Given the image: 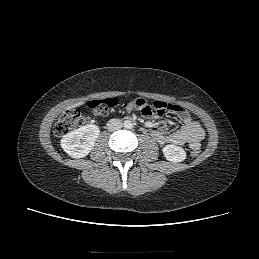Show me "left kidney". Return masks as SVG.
<instances>
[{"mask_svg": "<svg viewBox=\"0 0 259 259\" xmlns=\"http://www.w3.org/2000/svg\"><path fill=\"white\" fill-rule=\"evenodd\" d=\"M164 156L170 162H181L186 159V152L183 148L176 145H166L162 149Z\"/></svg>", "mask_w": 259, "mask_h": 259, "instance_id": "obj_1", "label": "left kidney"}]
</instances>
